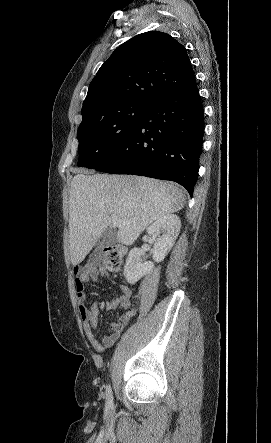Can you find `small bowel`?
Masks as SVG:
<instances>
[{
	"instance_id": "obj_1",
	"label": "small bowel",
	"mask_w": 271,
	"mask_h": 443,
	"mask_svg": "<svg viewBox=\"0 0 271 443\" xmlns=\"http://www.w3.org/2000/svg\"><path fill=\"white\" fill-rule=\"evenodd\" d=\"M109 274L103 267L89 265L80 270L77 266L74 268L76 298L79 313L82 319L83 328L90 344L97 350L103 351L111 347L119 338L123 329L128 325L130 320L135 316L136 309L131 308V289L124 284L119 285L121 294L118 298L110 299L105 302L107 310H115L118 307L122 309L117 321L111 323L112 333L109 335L102 334L96 337L95 331L98 327L99 305L93 302L90 307L86 306L85 284L89 281L100 282L102 278Z\"/></svg>"
}]
</instances>
